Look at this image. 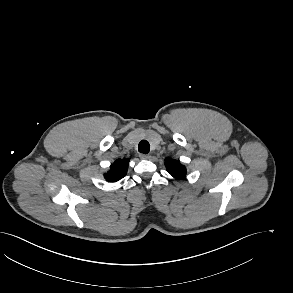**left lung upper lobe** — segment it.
I'll use <instances>...</instances> for the list:
<instances>
[{"label": "left lung upper lobe", "instance_id": "1", "mask_svg": "<svg viewBox=\"0 0 293 293\" xmlns=\"http://www.w3.org/2000/svg\"><path fill=\"white\" fill-rule=\"evenodd\" d=\"M165 166L167 171L175 178L182 179L186 176V167L178 160L166 158Z\"/></svg>", "mask_w": 293, "mask_h": 293}]
</instances>
